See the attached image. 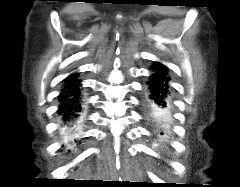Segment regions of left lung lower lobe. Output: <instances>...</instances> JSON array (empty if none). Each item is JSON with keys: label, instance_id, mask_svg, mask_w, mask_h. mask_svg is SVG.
I'll return each instance as SVG.
<instances>
[{"label": "left lung lower lobe", "instance_id": "left-lung-lower-lobe-1", "mask_svg": "<svg viewBox=\"0 0 240 187\" xmlns=\"http://www.w3.org/2000/svg\"><path fill=\"white\" fill-rule=\"evenodd\" d=\"M144 89L142 107L147 117L160 124L171 120L170 77L165 66L156 62Z\"/></svg>", "mask_w": 240, "mask_h": 187}]
</instances>
